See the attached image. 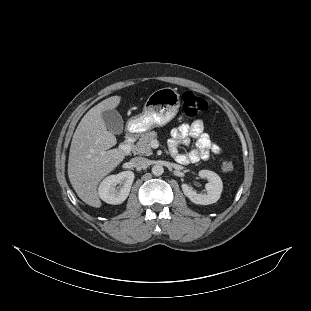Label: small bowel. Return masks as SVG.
I'll return each mask as SVG.
<instances>
[{
    "instance_id": "c3829d8e",
    "label": "small bowel",
    "mask_w": 311,
    "mask_h": 311,
    "mask_svg": "<svg viewBox=\"0 0 311 311\" xmlns=\"http://www.w3.org/2000/svg\"><path fill=\"white\" fill-rule=\"evenodd\" d=\"M194 141V147L187 152H180L181 145L189 146ZM169 151L174 159L183 165L197 163L201 160H208L212 154L221 153V148L204 131L202 120H195L191 123H183L174 128L169 140Z\"/></svg>"
}]
</instances>
